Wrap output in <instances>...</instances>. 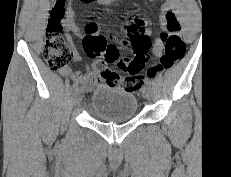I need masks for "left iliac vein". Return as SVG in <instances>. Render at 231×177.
Masks as SVG:
<instances>
[{"instance_id":"obj_1","label":"left iliac vein","mask_w":231,"mask_h":177,"mask_svg":"<svg viewBox=\"0 0 231 177\" xmlns=\"http://www.w3.org/2000/svg\"><path fill=\"white\" fill-rule=\"evenodd\" d=\"M143 97L148 101L151 100V98H152V88H151L150 85H147V86L144 87V89H143Z\"/></svg>"}]
</instances>
